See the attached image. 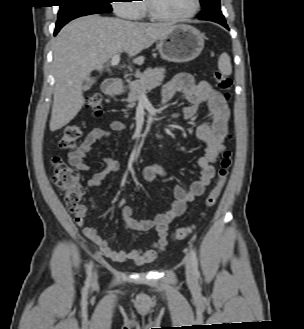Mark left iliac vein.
Returning <instances> with one entry per match:
<instances>
[{"label":"left iliac vein","mask_w":304,"mask_h":329,"mask_svg":"<svg viewBox=\"0 0 304 329\" xmlns=\"http://www.w3.org/2000/svg\"><path fill=\"white\" fill-rule=\"evenodd\" d=\"M185 272H186V278L189 282H194L195 280V274H194V269L192 262L190 260H186L185 263Z\"/></svg>","instance_id":"obj_1"}]
</instances>
